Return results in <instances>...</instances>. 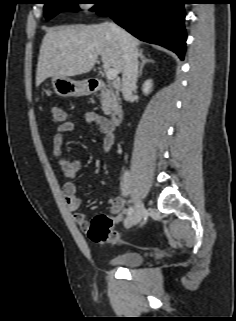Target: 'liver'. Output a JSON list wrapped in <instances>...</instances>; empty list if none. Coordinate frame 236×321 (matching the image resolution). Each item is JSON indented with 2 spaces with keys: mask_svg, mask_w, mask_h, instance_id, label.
Listing matches in <instances>:
<instances>
[{
  "mask_svg": "<svg viewBox=\"0 0 236 321\" xmlns=\"http://www.w3.org/2000/svg\"><path fill=\"white\" fill-rule=\"evenodd\" d=\"M131 38L137 48L140 42ZM99 55L104 66L123 72L124 52L108 24L49 29L40 47L36 86L48 77H74L88 73Z\"/></svg>",
  "mask_w": 236,
  "mask_h": 321,
  "instance_id": "obj_1",
  "label": "liver"
}]
</instances>
